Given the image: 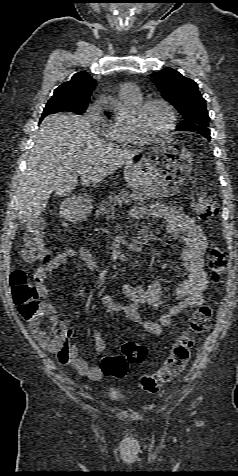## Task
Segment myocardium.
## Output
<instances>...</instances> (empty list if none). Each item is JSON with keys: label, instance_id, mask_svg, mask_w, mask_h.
Listing matches in <instances>:
<instances>
[{"label": "myocardium", "instance_id": "myocardium-1", "mask_svg": "<svg viewBox=\"0 0 238 476\" xmlns=\"http://www.w3.org/2000/svg\"><path fill=\"white\" fill-rule=\"evenodd\" d=\"M152 104H160L167 110L169 114V124L167 127L158 134H149L143 131L139 125V119L144 111ZM177 115L173 105L163 98H147L142 100L136 105V107L129 113L128 127L132 135L137 141L147 142L153 140H159L167 137L176 127Z\"/></svg>", "mask_w": 238, "mask_h": 476}]
</instances>
